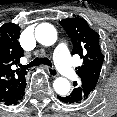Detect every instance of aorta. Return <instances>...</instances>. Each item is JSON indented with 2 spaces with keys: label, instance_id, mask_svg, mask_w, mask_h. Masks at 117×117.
Segmentation results:
<instances>
[{
  "label": "aorta",
  "instance_id": "aorta-1",
  "mask_svg": "<svg viewBox=\"0 0 117 117\" xmlns=\"http://www.w3.org/2000/svg\"><path fill=\"white\" fill-rule=\"evenodd\" d=\"M36 40L44 45L51 46L57 40V31L55 27L49 23L39 24L35 29ZM55 92L60 96H66L70 92V82L63 77H58L53 82Z\"/></svg>",
  "mask_w": 117,
  "mask_h": 117
}]
</instances>
